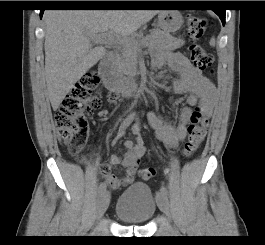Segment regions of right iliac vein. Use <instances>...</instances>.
Here are the masks:
<instances>
[{
    "label": "right iliac vein",
    "mask_w": 265,
    "mask_h": 245,
    "mask_svg": "<svg viewBox=\"0 0 265 245\" xmlns=\"http://www.w3.org/2000/svg\"><path fill=\"white\" fill-rule=\"evenodd\" d=\"M110 201V193L105 191L100 195L97 203L96 216L97 218H101L106 212Z\"/></svg>",
    "instance_id": "obj_1"
}]
</instances>
